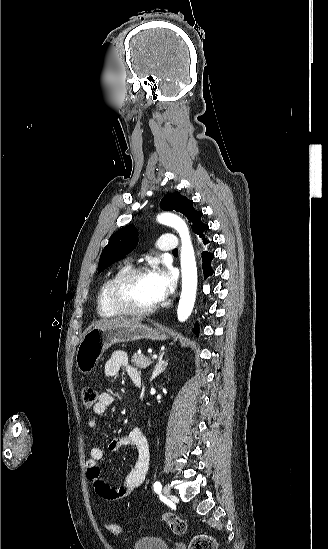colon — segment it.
Masks as SVG:
<instances>
[{
    "instance_id": "1",
    "label": "colon",
    "mask_w": 328,
    "mask_h": 549,
    "mask_svg": "<svg viewBox=\"0 0 328 549\" xmlns=\"http://www.w3.org/2000/svg\"><path fill=\"white\" fill-rule=\"evenodd\" d=\"M98 398L97 390L92 386H86L82 390V403L84 408L94 407ZM163 520L168 524L171 531L175 534H184L187 530V523L179 516L173 513H165ZM107 530L112 534H120L121 527L118 523L110 522L106 524ZM189 549H216V541L208 534H199L190 542Z\"/></svg>"
}]
</instances>
